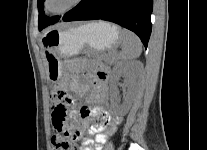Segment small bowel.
<instances>
[{"mask_svg":"<svg viewBox=\"0 0 207 150\" xmlns=\"http://www.w3.org/2000/svg\"><path fill=\"white\" fill-rule=\"evenodd\" d=\"M68 70L71 72L68 78L70 90L78 96H86L89 104H97L96 106L82 107L79 121L71 124V127L75 128L79 135L86 130V137L82 140L80 150H101L102 145L115 132L121 120L120 116L112 115L102 106L108 100L109 95L107 83L109 69L94 61H79L69 65ZM74 72H82L86 81H80L72 74ZM70 113L71 116L75 115L73 100ZM92 137L94 140L91 139Z\"/></svg>","mask_w":207,"mask_h":150,"instance_id":"1","label":"small bowel"}]
</instances>
